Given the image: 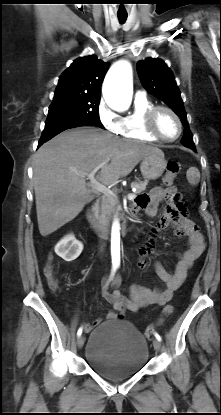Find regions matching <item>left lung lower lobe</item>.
Masks as SVG:
<instances>
[{"mask_svg": "<svg viewBox=\"0 0 221 415\" xmlns=\"http://www.w3.org/2000/svg\"><path fill=\"white\" fill-rule=\"evenodd\" d=\"M192 150L196 151V149H195V148H193Z\"/></svg>", "mask_w": 221, "mask_h": 415, "instance_id": "0a47b994", "label": "left lung lower lobe"}]
</instances>
